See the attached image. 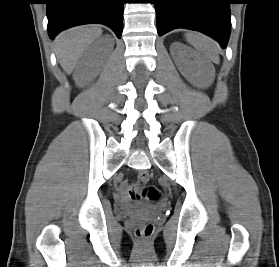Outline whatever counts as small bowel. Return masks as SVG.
<instances>
[{
    "instance_id": "1",
    "label": "small bowel",
    "mask_w": 279,
    "mask_h": 267,
    "mask_svg": "<svg viewBox=\"0 0 279 267\" xmlns=\"http://www.w3.org/2000/svg\"><path fill=\"white\" fill-rule=\"evenodd\" d=\"M124 198H131L134 201H140L141 197L139 196V192H134L136 190L135 187H128L126 184H122L120 187Z\"/></svg>"
}]
</instances>
